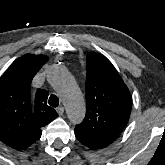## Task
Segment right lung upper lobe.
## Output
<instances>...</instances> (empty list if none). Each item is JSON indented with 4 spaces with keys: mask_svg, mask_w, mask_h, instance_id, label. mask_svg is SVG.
<instances>
[{
    "mask_svg": "<svg viewBox=\"0 0 165 165\" xmlns=\"http://www.w3.org/2000/svg\"><path fill=\"white\" fill-rule=\"evenodd\" d=\"M47 61L45 55H23L0 78V140L12 148L29 147L41 137L40 128L58 116L46 104V90L30 93L33 77Z\"/></svg>",
    "mask_w": 165,
    "mask_h": 165,
    "instance_id": "1",
    "label": "right lung upper lobe"
}]
</instances>
